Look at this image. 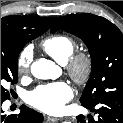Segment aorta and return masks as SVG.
<instances>
[{
    "label": "aorta",
    "instance_id": "obj_1",
    "mask_svg": "<svg viewBox=\"0 0 123 123\" xmlns=\"http://www.w3.org/2000/svg\"><path fill=\"white\" fill-rule=\"evenodd\" d=\"M31 73L38 79H56L60 75V68L53 61L40 58L39 60L32 63Z\"/></svg>",
    "mask_w": 123,
    "mask_h": 123
}]
</instances>
